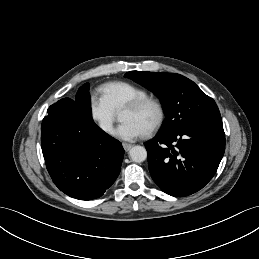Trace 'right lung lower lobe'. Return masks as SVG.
<instances>
[{
    "instance_id": "right-lung-lower-lobe-1",
    "label": "right lung lower lobe",
    "mask_w": 259,
    "mask_h": 259,
    "mask_svg": "<svg viewBox=\"0 0 259 259\" xmlns=\"http://www.w3.org/2000/svg\"><path fill=\"white\" fill-rule=\"evenodd\" d=\"M47 112L41 145L53 182L76 199L102 196L120 173L121 143L85 117L71 99L59 100Z\"/></svg>"
}]
</instances>
